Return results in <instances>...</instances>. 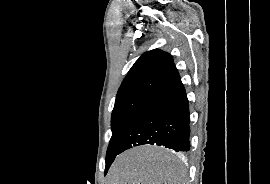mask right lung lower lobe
Listing matches in <instances>:
<instances>
[{"mask_svg": "<svg viewBox=\"0 0 270 184\" xmlns=\"http://www.w3.org/2000/svg\"><path fill=\"white\" fill-rule=\"evenodd\" d=\"M189 124V103L178 75L148 98L125 136L119 153L143 144L187 152L190 150Z\"/></svg>", "mask_w": 270, "mask_h": 184, "instance_id": "98d812e1", "label": "right lung lower lobe"}]
</instances>
